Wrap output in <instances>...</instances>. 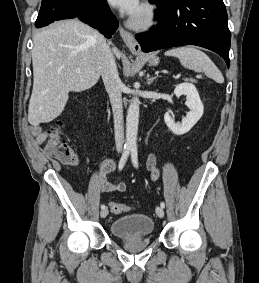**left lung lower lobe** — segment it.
Masks as SVG:
<instances>
[{"instance_id":"left-lung-lower-lobe-1","label":"left lung lower lobe","mask_w":259,"mask_h":283,"mask_svg":"<svg viewBox=\"0 0 259 283\" xmlns=\"http://www.w3.org/2000/svg\"><path fill=\"white\" fill-rule=\"evenodd\" d=\"M155 12L158 25L136 35L143 52L197 45L219 54L229 67L230 31L223 0H176L161 4Z\"/></svg>"}]
</instances>
